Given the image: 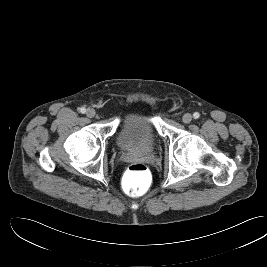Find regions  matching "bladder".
Masks as SVG:
<instances>
[{
  "instance_id": "31cf9c89",
  "label": "bladder",
  "mask_w": 267,
  "mask_h": 267,
  "mask_svg": "<svg viewBox=\"0 0 267 267\" xmlns=\"http://www.w3.org/2000/svg\"><path fill=\"white\" fill-rule=\"evenodd\" d=\"M116 139L123 148L148 150L155 145L157 134L146 114L133 112L122 120Z\"/></svg>"
}]
</instances>
